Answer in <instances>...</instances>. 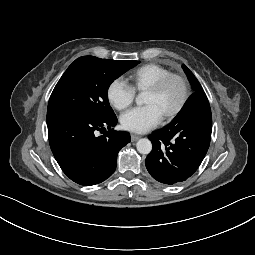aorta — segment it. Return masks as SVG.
<instances>
[{
  "label": "aorta",
  "mask_w": 255,
  "mask_h": 255,
  "mask_svg": "<svg viewBox=\"0 0 255 255\" xmlns=\"http://www.w3.org/2000/svg\"><path fill=\"white\" fill-rule=\"evenodd\" d=\"M136 103L137 105H142L143 96L141 94H139L136 97ZM136 148H137V151L141 154H149L152 150V143L149 139L142 138V139H139L138 142L136 143Z\"/></svg>",
  "instance_id": "762f6f07"
}]
</instances>
